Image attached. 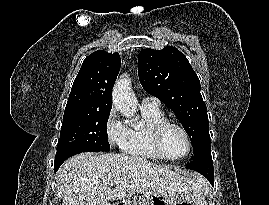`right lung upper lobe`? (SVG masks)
<instances>
[{"instance_id": "obj_1", "label": "right lung upper lobe", "mask_w": 269, "mask_h": 205, "mask_svg": "<svg viewBox=\"0 0 269 205\" xmlns=\"http://www.w3.org/2000/svg\"><path fill=\"white\" fill-rule=\"evenodd\" d=\"M121 66L119 53L98 50L86 57L74 80L66 107L111 109V91Z\"/></svg>"}]
</instances>
